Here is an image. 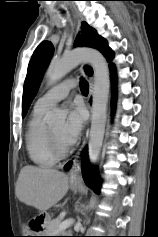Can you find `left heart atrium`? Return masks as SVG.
<instances>
[{
    "label": "left heart atrium",
    "mask_w": 158,
    "mask_h": 237,
    "mask_svg": "<svg viewBox=\"0 0 158 237\" xmlns=\"http://www.w3.org/2000/svg\"><path fill=\"white\" fill-rule=\"evenodd\" d=\"M84 124L83 108L72 104L68 111L67 120L61 131V140L66 146L73 145L80 137Z\"/></svg>",
    "instance_id": "39dd6f15"
}]
</instances>
